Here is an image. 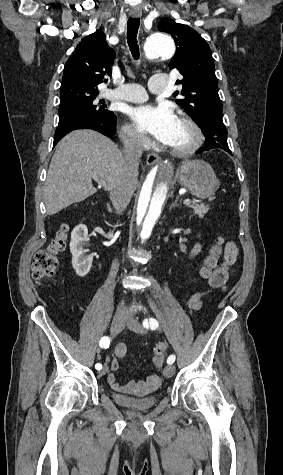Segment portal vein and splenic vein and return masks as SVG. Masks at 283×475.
<instances>
[{
  "label": "portal vein and splenic vein",
  "instance_id": "1",
  "mask_svg": "<svg viewBox=\"0 0 283 475\" xmlns=\"http://www.w3.org/2000/svg\"><path fill=\"white\" fill-rule=\"evenodd\" d=\"M94 180H97V176H93ZM98 182H100L99 186H106V182H102V180H98ZM183 204H185V206H189V204H191V200H184Z\"/></svg>",
  "mask_w": 283,
  "mask_h": 475
}]
</instances>
